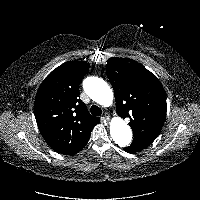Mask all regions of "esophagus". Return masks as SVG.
<instances>
[{
    "instance_id": "esophagus-1",
    "label": "esophagus",
    "mask_w": 200,
    "mask_h": 200,
    "mask_svg": "<svg viewBox=\"0 0 200 200\" xmlns=\"http://www.w3.org/2000/svg\"><path fill=\"white\" fill-rule=\"evenodd\" d=\"M103 119L104 120H106V121H109V114L108 113H105L104 115H103Z\"/></svg>"
}]
</instances>
